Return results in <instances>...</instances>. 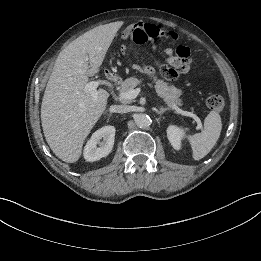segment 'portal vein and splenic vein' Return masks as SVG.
<instances>
[{
  "label": "portal vein and splenic vein",
  "mask_w": 261,
  "mask_h": 261,
  "mask_svg": "<svg viewBox=\"0 0 261 261\" xmlns=\"http://www.w3.org/2000/svg\"><path fill=\"white\" fill-rule=\"evenodd\" d=\"M99 85H108L110 87H112L111 83L106 81V80H94V81H91V82H88L86 85H85V89L86 91L90 92V94L96 98V89L98 88ZM140 92V89L137 88V89H131L127 92H123V93H120V98L122 99H126V100H131V99H134L137 97V95L139 94ZM173 109L176 110L177 113L181 114V115H184V116H188V117H191L193 118L197 124H198V128H202V123H201V120L198 116H196L195 114L191 113V112H187V111H184L182 109H180L178 106L174 105L173 106Z\"/></svg>",
  "instance_id": "portal-vein-and-splenic-vein-1"
}]
</instances>
